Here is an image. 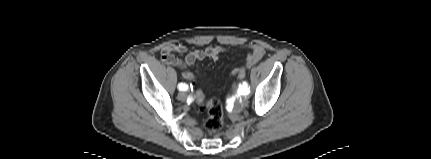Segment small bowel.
<instances>
[{
    "label": "small bowel",
    "instance_id": "small-bowel-1",
    "mask_svg": "<svg viewBox=\"0 0 431 159\" xmlns=\"http://www.w3.org/2000/svg\"><path fill=\"white\" fill-rule=\"evenodd\" d=\"M250 53L248 54L245 64L235 68L232 71L233 75L237 76L238 70H246L259 62L265 54V49L259 44H251L249 46ZM187 47L183 44H168L162 48L161 60L166 65L175 66L178 68H186L193 65L196 61L202 60L206 57L217 60L225 49L220 46H209L202 50H194L189 52L184 59L175 56V53H185ZM192 73V72H191Z\"/></svg>",
    "mask_w": 431,
    "mask_h": 159
}]
</instances>
